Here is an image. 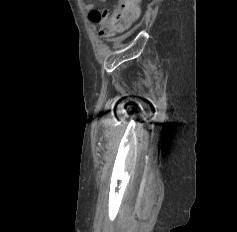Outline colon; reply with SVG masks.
Returning a JSON list of instances; mask_svg holds the SVG:
<instances>
[{
    "mask_svg": "<svg viewBox=\"0 0 237 232\" xmlns=\"http://www.w3.org/2000/svg\"><path fill=\"white\" fill-rule=\"evenodd\" d=\"M140 0H119L113 10H95L90 14L93 22L99 23L101 36L109 38L128 30L139 15Z\"/></svg>",
    "mask_w": 237,
    "mask_h": 232,
    "instance_id": "colon-1",
    "label": "colon"
}]
</instances>
